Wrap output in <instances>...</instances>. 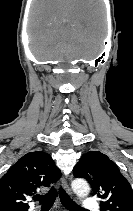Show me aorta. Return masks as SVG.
<instances>
[{
    "instance_id": "1",
    "label": "aorta",
    "mask_w": 133,
    "mask_h": 211,
    "mask_svg": "<svg viewBox=\"0 0 133 211\" xmlns=\"http://www.w3.org/2000/svg\"><path fill=\"white\" fill-rule=\"evenodd\" d=\"M71 187L74 193L80 198L87 197L90 192L89 184L81 178L73 180Z\"/></svg>"
}]
</instances>
